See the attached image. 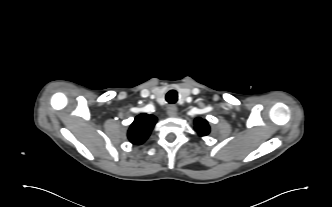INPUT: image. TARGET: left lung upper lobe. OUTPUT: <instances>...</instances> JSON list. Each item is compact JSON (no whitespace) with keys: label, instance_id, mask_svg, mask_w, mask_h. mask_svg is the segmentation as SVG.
<instances>
[{"label":"left lung upper lobe","instance_id":"5c2ea615","mask_svg":"<svg viewBox=\"0 0 332 207\" xmlns=\"http://www.w3.org/2000/svg\"><path fill=\"white\" fill-rule=\"evenodd\" d=\"M195 130L199 136H206L210 132V126L208 122L202 118H196L194 121Z\"/></svg>","mask_w":332,"mask_h":207}]
</instances>
